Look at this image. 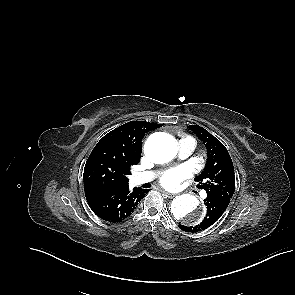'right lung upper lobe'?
Masks as SVG:
<instances>
[{
    "label": "right lung upper lobe",
    "mask_w": 295,
    "mask_h": 295,
    "mask_svg": "<svg viewBox=\"0 0 295 295\" xmlns=\"http://www.w3.org/2000/svg\"><path fill=\"white\" fill-rule=\"evenodd\" d=\"M161 126V124L146 121H131L106 134L97 143L96 147L102 145L109 146L123 156L132 158L139 163L143 137L147 132Z\"/></svg>",
    "instance_id": "cb5924a9"
}]
</instances>
